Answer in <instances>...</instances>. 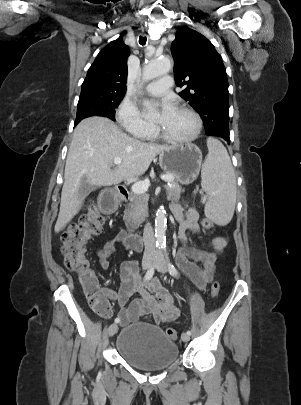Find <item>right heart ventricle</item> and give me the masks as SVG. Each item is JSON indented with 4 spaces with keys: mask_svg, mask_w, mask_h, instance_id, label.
<instances>
[{
    "mask_svg": "<svg viewBox=\"0 0 301 405\" xmlns=\"http://www.w3.org/2000/svg\"><path fill=\"white\" fill-rule=\"evenodd\" d=\"M139 137L146 139V140H153L157 138V134L155 133V131L153 129H151L150 131L144 133L143 135H140Z\"/></svg>",
    "mask_w": 301,
    "mask_h": 405,
    "instance_id": "right-heart-ventricle-1",
    "label": "right heart ventricle"
}]
</instances>
